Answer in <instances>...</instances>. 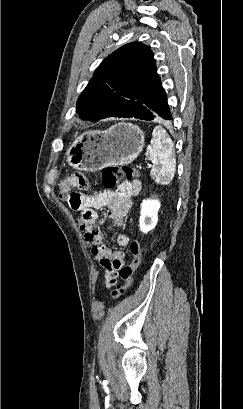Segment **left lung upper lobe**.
<instances>
[{"label": "left lung upper lobe", "instance_id": "obj_1", "mask_svg": "<svg viewBox=\"0 0 243 409\" xmlns=\"http://www.w3.org/2000/svg\"><path fill=\"white\" fill-rule=\"evenodd\" d=\"M161 83L149 47L128 43L106 57L81 93L76 112L96 122L108 113H125V106L137 102Z\"/></svg>", "mask_w": 243, "mask_h": 409}]
</instances>
